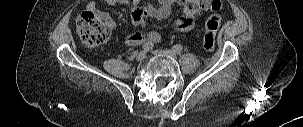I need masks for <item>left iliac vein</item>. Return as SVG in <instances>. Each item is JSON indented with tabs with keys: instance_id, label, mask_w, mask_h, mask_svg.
<instances>
[{
	"instance_id": "4c4485c4",
	"label": "left iliac vein",
	"mask_w": 303,
	"mask_h": 127,
	"mask_svg": "<svg viewBox=\"0 0 303 127\" xmlns=\"http://www.w3.org/2000/svg\"><path fill=\"white\" fill-rule=\"evenodd\" d=\"M153 54L158 57L176 58V53L173 50H155Z\"/></svg>"
}]
</instances>
